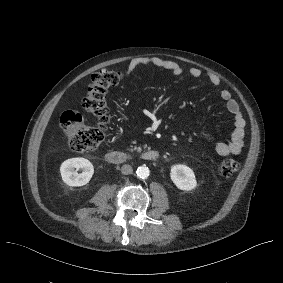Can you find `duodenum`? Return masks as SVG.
<instances>
[{
	"label": "duodenum",
	"mask_w": 283,
	"mask_h": 283,
	"mask_svg": "<svg viewBox=\"0 0 283 283\" xmlns=\"http://www.w3.org/2000/svg\"><path fill=\"white\" fill-rule=\"evenodd\" d=\"M134 159L156 161L159 159V153L156 150H147L140 155H132L123 151H110L105 155V160L112 164H123Z\"/></svg>",
	"instance_id": "1"
}]
</instances>
